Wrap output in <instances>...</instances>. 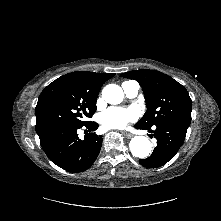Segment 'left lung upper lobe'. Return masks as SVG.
<instances>
[{"label": "left lung upper lobe", "instance_id": "1", "mask_svg": "<svg viewBox=\"0 0 221 221\" xmlns=\"http://www.w3.org/2000/svg\"><path fill=\"white\" fill-rule=\"evenodd\" d=\"M121 76L138 81L145 94L147 111L138 125L147 128L164 123L190 125L191 98L185 87L172 77L148 69L129 71Z\"/></svg>", "mask_w": 221, "mask_h": 221}]
</instances>
